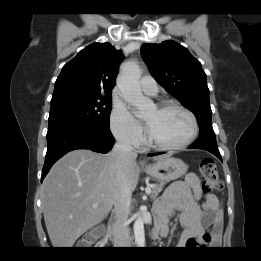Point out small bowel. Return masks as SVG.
Segmentation results:
<instances>
[{"label":"small bowel","mask_w":261,"mask_h":261,"mask_svg":"<svg viewBox=\"0 0 261 261\" xmlns=\"http://www.w3.org/2000/svg\"><path fill=\"white\" fill-rule=\"evenodd\" d=\"M203 199L201 207L198 203ZM173 210L181 212L180 221L184 233L179 246H188L193 239H202L207 229H211L212 243L218 244L222 232V209L220 199L204 193L195 174L189 173L184 181L174 182L158 202L157 228L167 231L166 220Z\"/></svg>","instance_id":"obj_1"}]
</instances>
